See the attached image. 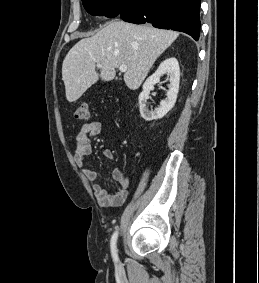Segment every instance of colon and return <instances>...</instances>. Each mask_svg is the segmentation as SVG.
Returning a JSON list of instances; mask_svg holds the SVG:
<instances>
[{
  "label": "colon",
  "mask_w": 259,
  "mask_h": 283,
  "mask_svg": "<svg viewBox=\"0 0 259 283\" xmlns=\"http://www.w3.org/2000/svg\"><path fill=\"white\" fill-rule=\"evenodd\" d=\"M75 117L78 120H87L89 118V110H88V105L86 103L80 104L75 112Z\"/></svg>",
  "instance_id": "obj_1"
}]
</instances>
